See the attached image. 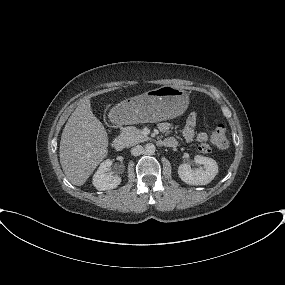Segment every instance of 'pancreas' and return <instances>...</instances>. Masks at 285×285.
Segmentation results:
<instances>
[{
  "mask_svg": "<svg viewBox=\"0 0 285 285\" xmlns=\"http://www.w3.org/2000/svg\"><path fill=\"white\" fill-rule=\"evenodd\" d=\"M120 138L127 147L149 140L148 136L144 135L141 130L133 126L123 128Z\"/></svg>",
  "mask_w": 285,
  "mask_h": 285,
  "instance_id": "cf45deb5",
  "label": "pancreas"
}]
</instances>
